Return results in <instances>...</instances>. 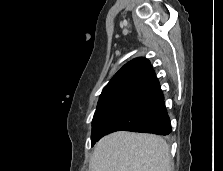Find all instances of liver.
<instances>
[{"instance_id":"6515ba94","label":"liver","mask_w":223,"mask_h":171,"mask_svg":"<svg viewBox=\"0 0 223 171\" xmlns=\"http://www.w3.org/2000/svg\"><path fill=\"white\" fill-rule=\"evenodd\" d=\"M89 171H172L169 146L157 135L115 132L97 143Z\"/></svg>"}]
</instances>
